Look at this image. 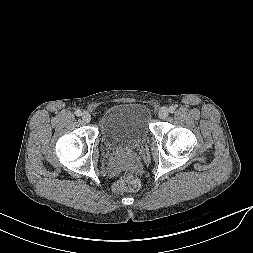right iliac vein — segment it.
Returning a JSON list of instances; mask_svg holds the SVG:
<instances>
[{"mask_svg":"<svg viewBox=\"0 0 253 253\" xmlns=\"http://www.w3.org/2000/svg\"><path fill=\"white\" fill-rule=\"evenodd\" d=\"M81 117L85 123H89L91 121V115L86 111L82 113Z\"/></svg>","mask_w":253,"mask_h":253,"instance_id":"right-iliac-vein-1","label":"right iliac vein"}]
</instances>
